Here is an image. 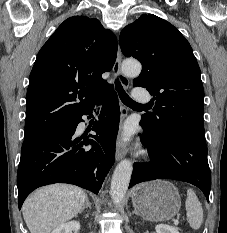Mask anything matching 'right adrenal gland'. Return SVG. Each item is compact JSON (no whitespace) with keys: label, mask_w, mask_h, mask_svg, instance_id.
<instances>
[{"label":"right adrenal gland","mask_w":227,"mask_h":233,"mask_svg":"<svg viewBox=\"0 0 227 233\" xmlns=\"http://www.w3.org/2000/svg\"><path fill=\"white\" fill-rule=\"evenodd\" d=\"M86 208L91 209V204H90L88 198H86V203H85L84 207L82 208V210L80 211V213H82Z\"/></svg>","instance_id":"1"}]
</instances>
